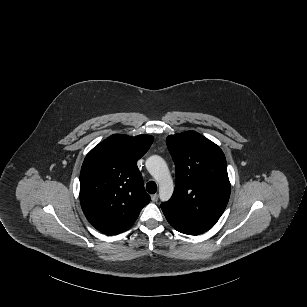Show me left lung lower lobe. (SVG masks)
Listing matches in <instances>:
<instances>
[{
    "instance_id": "left-lung-lower-lobe-1",
    "label": "left lung lower lobe",
    "mask_w": 307,
    "mask_h": 307,
    "mask_svg": "<svg viewBox=\"0 0 307 307\" xmlns=\"http://www.w3.org/2000/svg\"><path fill=\"white\" fill-rule=\"evenodd\" d=\"M164 215H165L167 221L169 222V224L181 233L188 234V235H197V234L203 233V232H200L198 230L188 228V227L184 226L183 224H181L180 222L175 221L172 218V216L167 212H164Z\"/></svg>"
}]
</instances>
